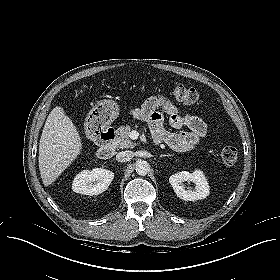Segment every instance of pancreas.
Masks as SVG:
<instances>
[{
    "instance_id": "pancreas-1",
    "label": "pancreas",
    "mask_w": 280,
    "mask_h": 280,
    "mask_svg": "<svg viewBox=\"0 0 280 280\" xmlns=\"http://www.w3.org/2000/svg\"><path fill=\"white\" fill-rule=\"evenodd\" d=\"M130 131L131 127L128 125L120 126L116 130V143L119 148L124 149L135 147L136 144L129 138Z\"/></svg>"
}]
</instances>
